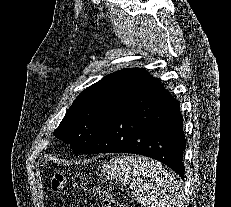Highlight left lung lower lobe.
Instances as JSON below:
<instances>
[{"mask_svg":"<svg viewBox=\"0 0 231 207\" xmlns=\"http://www.w3.org/2000/svg\"><path fill=\"white\" fill-rule=\"evenodd\" d=\"M186 140L179 102L150 76L142 89L106 123L84 152L134 153L156 159L184 179Z\"/></svg>","mask_w":231,"mask_h":207,"instance_id":"obj_1","label":"left lung lower lobe"}]
</instances>
